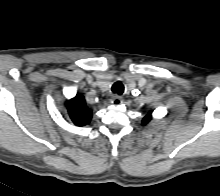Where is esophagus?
<instances>
[{
  "instance_id": "obj_1",
  "label": "esophagus",
  "mask_w": 220,
  "mask_h": 196,
  "mask_svg": "<svg viewBox=\"0 0 220 196\" xmlns=\"http://www.w3.org/2000/svg\"><path fill=\"white\" fill-rule=\"evenodd\" d=\"M122 102H123V99L120 96H114L111 99V104L116 105V106L120 105Z\"/></svg>"
}]
</instances>
